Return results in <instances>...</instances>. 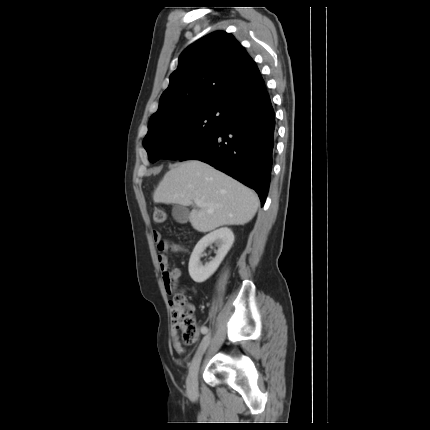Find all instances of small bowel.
Returning a JSON list of instances; mask_svg holds the SVG:
<instances>
[{
  "label": "small bowel",
  "mask_w": 430,
  "mask_h": 430,
  "mask_svg": "<svg viewBox=\"0 0 430 430\" xmlns=\"http://www.w3.org/2000/svg\"><path fill=\"white\" fill-rule=\"evenodd\" d=\"M153 238L157 243V247L160 251H164L169 248V242L164 240L160 235V233H157V232L154 233ZM158 263L163 274L162 280L165 283L164 289L166 290L167 293L171 294L175 290L174 282H177L181 277V274H182L181 270L180 268L176 267L171 269V271L168 273L167 267H166L167 259L164 255H161V254L158 256ZM207 332H208V327L205 325H202L200 327V333L206 334ZM171 339H172V346L174 350L179 354H186V351L184 350V348L182 347L178 339V330L175 328L174 325L171 329Z\"/></svg>",
  "instance_id": "obj_1"
}]
</instances>
